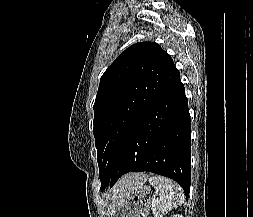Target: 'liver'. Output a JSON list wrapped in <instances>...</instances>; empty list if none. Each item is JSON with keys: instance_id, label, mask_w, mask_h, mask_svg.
Returning <instances> with one entry per match:
<instances>
[{"instance_id": "obj_1", "label": "liver", "mask_w": 253, "mask_h": 217, "mask_svg": "<svg viewBox=\"0 0 253 217\" xmlns=\"http://www.w3.org/2000/svg\"><path fill=\"white\" fill-rule=\"evenodd\" d=\"M148 176L144 173H129L123 176L112 190V196H108L107 200L114 202L117 198L128 194L135 187L141 186L147 180ZM111 204L108 205L110 210Z\"/></svg>"}]
</instances>
